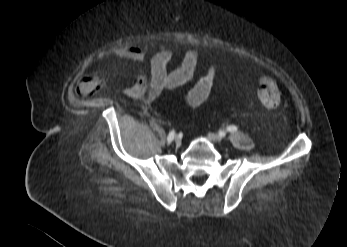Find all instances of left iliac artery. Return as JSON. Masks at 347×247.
<instances>
[{
  "mask_svg": "<svg viewBox=\"0 0 347 247\" xmlns=\"http://www.w3.org/2000/svg\"><path fill=\"white\" fill-rule=\"evenodd\" d=\"M238 130V127L235 125H230L227 127V131L229 132H236ZM220 135L224 136L223 132H220Z\"/></svg>",
  "mask_w": 347,
  "mask_h": 247,
  "instance_id": "1",
  "label": "left iliac artery"
}]
</instances>
